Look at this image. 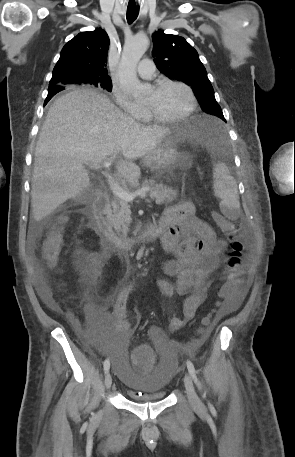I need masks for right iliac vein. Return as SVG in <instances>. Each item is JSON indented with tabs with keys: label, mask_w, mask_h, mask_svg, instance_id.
<instances>
[{
	"label": "right iliac vein",
	"mask_w": 295,
	"mask_h": 457,
	"mask_svg": "<svg viewBox=\"0 0 295 457\" xmlns=\"http://www.w3.org/2000/svg\"><path fill=\"white\" fill-rule=\"evenodd\" d=\"M112 385V376L110 373H107L105 376V387L109 389Z\"/></svg>",
	"instance_id": "right-iliac-vein-1"
}]
</instances>
